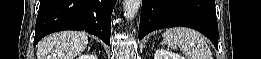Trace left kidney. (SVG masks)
Masks as SVG:
<instances>
[{
    "label": "left kidney",
    "mask_w": 261,
    "mask_h": 59,
    "mask_svg": "<svg viewBox=\"0 0 261 59\" xmlns=\"http://www.w3.org/2000/svg\"><path fill=\"white\" fill-rule=\"evenodd\" d=\"M154 59H184V57L169 50L159 49L156 50Z\"/></svg>",
    "instance_id": "left-kidney-1"
}]
</instances>
